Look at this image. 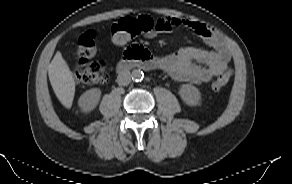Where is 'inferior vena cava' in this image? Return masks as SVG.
<instances>
[{
	"mask_svg": "<svg viewBox=\"0 0 292 184\" xmlns=\"http://www.w3.org/2000/svg\"><path fill=\"white\" fill-rule=\"evenodd\" d=\"M131 81V73L129 71H122L117 76V83L121 86H126Z\"/></svg>",
	"mask_w": 292,
	"mask_h": 184,
	"instance_id": "602c4592",
	"label": "inferior vena cava"
}]
</instances>
